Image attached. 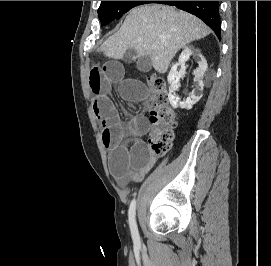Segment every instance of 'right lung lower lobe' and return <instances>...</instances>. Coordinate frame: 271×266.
I'll return each instance as SVG.
<instances>
[{"label":"right lung lower lobe","instance_id":"right-lung-lower-lobe-1","mask_svg":"<svg viewBox=\"0 0 271 266\" xmlns=\"http://www.w3.org/2000/svg\"><path fill=\"white\" fill-rule=\"evenodd\" d=\"M151 3H160L176 6L179 9L187 11L199 17L207 24L220 39V15L218 1H152Z\"/></svg>","mask_w":271,"mask_h":266}]
</instances>
